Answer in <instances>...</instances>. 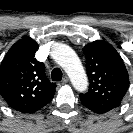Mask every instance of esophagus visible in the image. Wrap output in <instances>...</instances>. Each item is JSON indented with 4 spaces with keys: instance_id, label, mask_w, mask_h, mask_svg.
I'll return each mask as SVG.
<instances>
[{
    "instance_id": "obj_1",
    "label": "esophagus",
    "mask_w": 133,
    "mask_h": 133,
    "mask_svg": "<svg viewBox=\"0 0 133 133\" xmlns=\"http://www.w3.org/2000/svg\"><path fill=\"white\" fill-rule=\"evenodd\" d=\"M68 82H69V78H68L67 76H65V77L62 79V81H61L62 84H66V83H68Z\"/></svg>"
}]
</instances>
